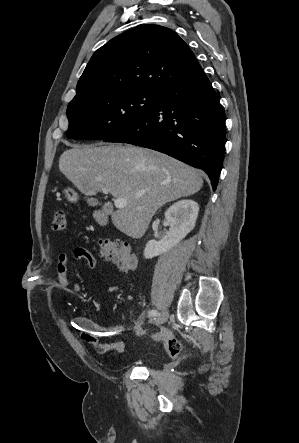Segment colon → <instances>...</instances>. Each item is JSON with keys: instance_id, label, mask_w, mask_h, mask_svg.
I'll list each match as a JSON object with an SVG mask.
<instances>
[{"instance_id": "1", "label": "colon", "mask_w": 299, "mask_h": 443, "mask_svg": "<svg viewBox=\"0 0 299 443\" xmlns=\"http://www.w3.org/2000/svg\"><path fill=\"white\" fill-rule=\"evenodd\" d=\"M52 228L57 232L67 230V219L63 211L54 214ZM99 253L102 259L110 261L123 272H129L136 268L137 257L130 245L122 240L101 239L99 241ZM152 337L164 343L168 353L177 357L183 349L182 342L167 329H160L152 334Z\"/></svg>"}]
</instances>
